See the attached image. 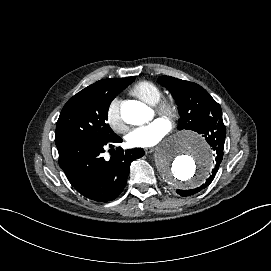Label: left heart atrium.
Wrapping results in <instances>:
<instances>
[{
    "instance_id": "1",
    "label": "left heart atrium",
    "mask_w": 271,
    "mask_h": 271,
    "mask_svg": "<svg viewBox=\"0 0 271 271\" xmlns=\"http://www.w3.org/2000/svg\"><path fill=\"white\" fill-rule=\"evenodd\" d=\"M170 131V124L163 118H157L145 126L132 129L127 141L134 147H152L160 143Z\"/></svg>"
}]
</instances>
